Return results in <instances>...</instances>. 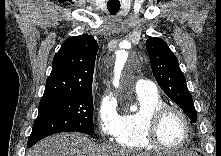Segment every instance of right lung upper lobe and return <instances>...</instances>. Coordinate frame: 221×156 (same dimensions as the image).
Returning a JSON list of instances; mask_svg holds the SVG:
<instances>
[{
    "instance_id": "right-lung-upper-lobe-1",
    "label": "right lung upper lobe",
    "mask_w": 221,
    "mask_h": 156,
    "mask_svg": "<svg viewBox=\"0 0 221 156\" xmlns=\"http://www.w3.org/2000/svg\"><path fill=\"white\" fill-rule=\"evenodd\" d=\"M98 44L90 35L70 37L53 58L42 98L69 96L92 90Z\"/></svg>"
}]
</instances>
